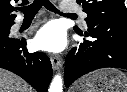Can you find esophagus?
<instances>
[{
    "label": "esophagus",
    "instance_id": "obj_1",
    "mask_svg": "<svg viewBox=\"0 0 127 92\" xmlns=\"http://www.w3.org/2000/svg\"><path fill=\"white\" fill-rule=\"evenodd\" d=\"M50 61H51V64H52L54 70H58L62 67L63 62H62V59L60 56L51 55Z\"/></svg>",
    "mask_w": 127,
    "mask_h": 92
}]
</instances>
